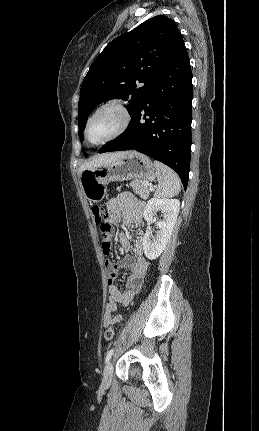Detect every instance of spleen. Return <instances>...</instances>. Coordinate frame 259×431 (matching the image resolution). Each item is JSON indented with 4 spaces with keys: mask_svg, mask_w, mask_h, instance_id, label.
<instances>
[{
    "mask_svg": "<svg viewBox=\"0 0 259 431\" xmlns=\"http://www.w3.org/2000/svg\"><path fill=\"white\" fill-rule=\"evenodd\" d=\"M157 170L158 187L155 192L159 198L174 197L181 190V181L178 175L168 166L159 161H154Z\"/></svg>",
    "mask_w": 259,
    "mask_h": 431,
    "instance_id": "3e777b00",
    "label": "spleen"
}]
</instances>
